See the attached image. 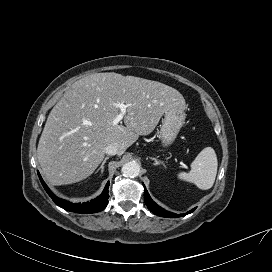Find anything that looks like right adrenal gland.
Returning <instances> with one entry per match:
<instances>
[{
  "instance_id": "2a0ac1e0",
  "label": "right adrenal gland",
  "mask_w": 272,
  "mask_h": 272,
  "mask_svg": "<svg viewBox=\"0 0 272 272\" xmlns=\"http://www.w3.org/2000/svg\"><path fill=\"white\" fill-rule=\"evenodd\" d=\"M108 159H109V157H105V158H104V160H103L101 166L97 169L96 173L100 171L101 174H102V173L104 172V165H105V163H106V161H107Z\"/></svg>"
}]
</instances>
